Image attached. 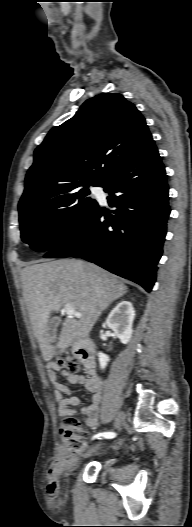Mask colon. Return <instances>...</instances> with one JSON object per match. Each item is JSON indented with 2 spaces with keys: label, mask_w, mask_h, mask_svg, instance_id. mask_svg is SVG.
<instances>
[{
  "label": "colon",
  "mask_w": 192,
  "mask_h": 527,
  "mask_svg": "<svg viewBox=\"0 0 192 527\" xmlns=\"http://www.w3.org/2000/svg\"><path fill=\"white\" fill-rule=\"evenodd\" d=\"M57 364L70 374L80 375L82 370L81 361L68 353H62L57 358ZM66 454L72 457L80 456L87 446L88 432L80 422L71 416H67L59 430Z\"/></svg>",
  "instance_id": "obj_1"
}]
</instances>
